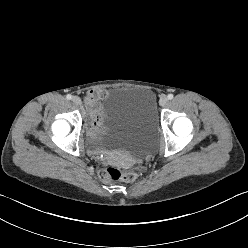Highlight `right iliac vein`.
<instances>
[{"label": "right iliac vein", "mask_w": 248, "mask_h": 248, "mask_svg": "<svg viewBox=\"0 0 248 248\" xmlns=\"http://www.w3.org/2000/svg\"><path fill=\"white\" fill-rule=\"evenodd\" d=\"M72 102H73L75 105H80V104H81V99H80V97H78V96H74V97L72 98Z\"/></svg>", "instance_id": "right-iliac-vein-1"}]
</instances>
